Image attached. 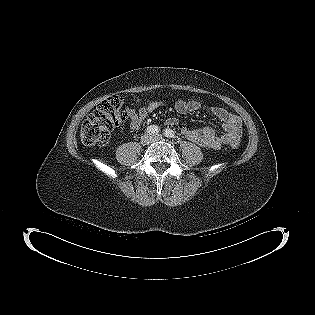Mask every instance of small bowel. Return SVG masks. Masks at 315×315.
<instances>
[{"instance_id": "obj_1", "label": "small bowel", "mask_w": 315, "mask_h": 315, "mask_svg": "<svg viewBox=\"0 0 315 315\" xmlns=\"http://www.w3.org/2000/svg\"><path fill=\"white\" fill-rule=\"evenodd\" d=\"M163 105L162 101H152L142 106L138 111L128 108L130 126L133 129H138L151 112ZM202 108L201 103L195 100H178L175 103V109L179 114L196 112ZM210 112L220 120L223 133L220 134L214 128L206 126L198 129L183 127L181 129L182 134L190 141L207 149H216L223 144L233 142L239 143L242 135L241 119L221 107H211ZM166 124L175 126L178 124V119L175 117L167 118Z\"/></svg>"}]
</instances>
